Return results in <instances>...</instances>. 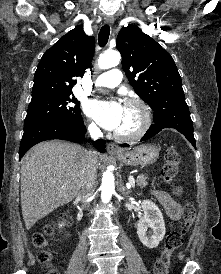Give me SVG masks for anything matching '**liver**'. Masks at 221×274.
<instances>
[{"label": "liver", "mask_w": 221, "mask_h": 274, "mask_svg": "<svg viewBox=\"0 0 221 274\" xmlns=\"http://www.w3.org/2000/svg\"><path fill=\"white\" fill-rule=\"evenodd\" d=\"M86 152L77 144L46 141L26 153L21 166V208L27 230L77 196Z\"/></svg>", "instance_id": "6515ba94"}]
</instances>
